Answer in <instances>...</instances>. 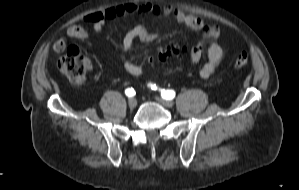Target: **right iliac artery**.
Here are the masks:
<instances>
[{"label": "right iliac artery", "mask_w": 299, "mask_h": 190, "mask_svg": "<svg viewBox=\"0 0 299 190\" xmlns=\"http://www.w3.org/2000/svg\"><path fill=\"white\" fill-rule=\"evenodd\" d=\"M125 94L128 96V97H133L135 95V91L133 88H127L125 90Z\"/></svg>", "instance_id": "obj_1"}]
</instances>
